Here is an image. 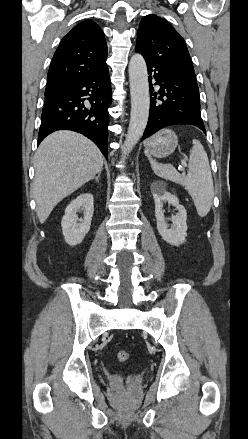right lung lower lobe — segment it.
Listing matches in <instances>:
<instances>
[{
	"label": "right lung lower lobe",
	"instance_id": "1",
	"mask_svg": "<svg viewBox=\"0 0 248 439\" xmlns=\"http://www.w3.org/2000/svg\"><path fill=\"white\" fill-rule=\"evenodd\" d=\"M108 67L45 96L38 144L57 130H72L92 140L108 159V108L111 104Z\"/></svg>",
	"mask_w": 248,
	"mask_h": 439
}]
</instances>
